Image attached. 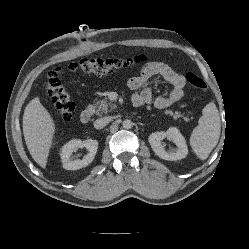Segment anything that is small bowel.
<instances>
[{
    "instance_id": "small-bowel-1",
    "label": "small bowel",
    "mask_w": 249,
    "mask_h": 249,
    "mask_svg": "<svg viewBox=\"0 0 249 249\" xmlns=\"http://www.w3.org/2000/svg\"><path fill=\"white\" fill-rule=\"evenodd\" d=\"M153 76L162 77L172 85V90L168 94L159 95L153 99L151 87H145L148 80ZM127 85L131 90L135 91L133 95L135 106L153 102L157 108L163 109L176 104L183 98L185 77L173 70L169 65L153 61L144 65L139 75L129 78Z\"/></svg>"
}]
</instances>
